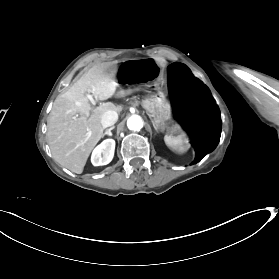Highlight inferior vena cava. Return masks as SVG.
Here are the masks:
<instances>
[{"mask_svg": "<svg viewBox=\"0 0 279 279\" xmlns=\"http://www.w3.org/2000/svg\"><path fill=\"white\" fill-rule=\"evenodd\" d=\"M118 119V115L115 111L105 112V115L102 117L103 128L113 125Z\"/></svg>", "mask_w": 279, "mask_h": 279, "instance_id": "1", "label": "inferior vena cava"}]
</instances>
